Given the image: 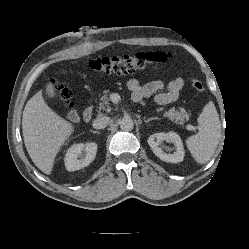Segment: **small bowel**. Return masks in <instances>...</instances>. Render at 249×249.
Returning <instances> with one entry per match:
<instances>
[{
    "instance_id": "obj_1",
    "label": "small bowel",
    "mask_w": 249,
    "mask_h": 249,
    "mask_svg": "<svg viewBox=\"0 0 249 249\" xmlns=\"http://www.w3.org/2000/svg\"><path fill=\"white\" fill-rule=\"evenodd\" d=\"M184 81L181 77H176L167 84L162 81L154 80L141 85L137 79H130L127 83L128 89L132 93L135 102L141 101L143 98L155 95V102L159 105H165L175 102L183 88Z\"/></svg>"
}]
</instances>
